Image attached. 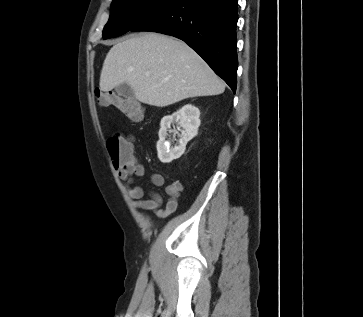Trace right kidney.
<instances>
[{
	"label": "right kidney",
	"instance_id": "1",
	"mask_svg": "<svg viewBox=\"0 0 363 317\" xmlns=\"http://www.w3.org/2000/svg\"><path fill=\"white\" fill-rule=\"evenodd\" d=\"M200 111L197 107L191 104L184 105L172 115L164 116L160 123L159 140L157 142L158 158L162 163H170L174 159H178L185 151L188 141L194 138L198 133L200 126ZM172 123H177L183 128L179 144L174 147L166 140L167 131Z\"/></svg>",
	"mask_w": 363,
	"mask_h": 317
}]
</instances>
